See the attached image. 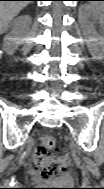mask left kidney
I'll use <instances>...</instances> for the list:
<instances>
[{
	"label": "left kidney",
	"instance_id": "left-kidney-1",
	"mask_svg": "<svg viewBox=\"0 0 104 189\" xmlns=\"http://www.w3.org/2000/svg\"><path fill=\"white\" fill-rule=\"evenodd\" d=\"M80 14L82 22H85L88 17H94L100 21L104 19L103 8H94L90 5L83 6ZM93 56L95 59H100L102 58V52H94Z\"/></svg>",
	"mask_w": 104,
	"mask_h": 189
}]
</instances>
